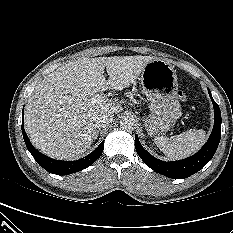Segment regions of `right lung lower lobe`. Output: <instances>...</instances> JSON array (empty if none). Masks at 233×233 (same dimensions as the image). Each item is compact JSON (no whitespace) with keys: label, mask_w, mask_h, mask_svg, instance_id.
<instances>
[{"label":"right lung lower lobe","mask_w":233,"mask_h":233,"mask_svg":"<svg viewBox=\"0 0 233 233\" xmlns=\"http://www.w3.org/2000/svg\"><path fill=\"white\" fill-rule=\"evenodd\" d=\"M22 133H23V138L27 146V149L30 151V153L32 154L34 159L38 162V164L41 167H43L45 170H47L48 172L57 174V175H67V174L81 171L89 167L91 164H93L101 156L103 152L104 141H102L100 145L92 153H90L89 155H87L86 157L82 159H79L76 161L54 160L38 152L33 147V145L29 141V138L24 130L23 123H22Z\"/></svg>","instance_id":"98d812e1"}]
</instances>
